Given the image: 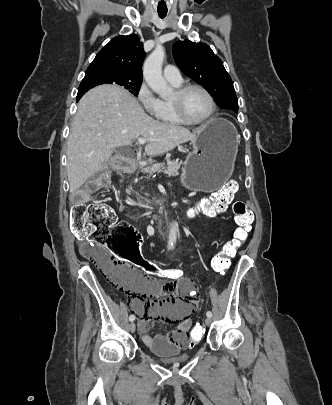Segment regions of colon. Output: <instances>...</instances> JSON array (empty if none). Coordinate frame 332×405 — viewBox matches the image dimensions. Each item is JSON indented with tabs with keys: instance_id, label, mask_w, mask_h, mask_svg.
<instances>
[{
	"instance_id": "1",
	"label": "colon",
	"mask_w": 332,
	"mask_h": 405,
	"mask_svg": "<svg viewBox=\"0 0 332 405\" xmlns=\"http://www.w3.org/2000/svg\"><path fill=\"white\" fill-rule=\"evenodd\" d=\"M94 186H88L72 195L70 215L71 230L81 237H86L80 247L81 255L95 264L104 276L115 286L121 287L123 267H133L140 273H152L155 278H166L170 281L178 278L180 273L174 267L170 271H162L157 261L152 258H141L144 243L143 236L129 223L119 221L112 208L103 203H90V195L99 186L110 182L109 174H102L95 180ZM238 184L231 179L225 182L214 194L202 200L196 208L204 213L222 212L233 200ZM234 220L237 225L233 238L214 257L212 266L218 273L225 272L230 266V260L248 238L253 216L242 201L233 204ZM114 256H120L121 262ZM178 270V269H176ZM206 323L194 322L193 329L184 338H189V351H196L202 346L205 336Z\"/></svg>"
}]
</instances>
